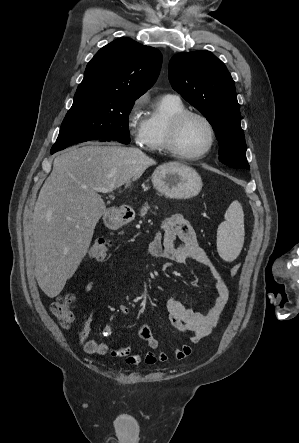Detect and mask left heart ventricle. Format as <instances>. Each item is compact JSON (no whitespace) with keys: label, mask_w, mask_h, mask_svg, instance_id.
<instances>
[{"label":"left heart ventricle","mask_w":299,"mask_h":443,"mask_svg":"<svg viewBox=\"0 0 299 443\" xmlns=\"http://www.w3.org/2000/svg\"><path fill=\"white\" fill-rule=\"evenodd\" d=\"M209 143V131L206 124L197 117H189L183 123L179 136L178 146L187 154L202 152Z\"/></svg>","instance_id":"b2bd125f"}]
</instances>
